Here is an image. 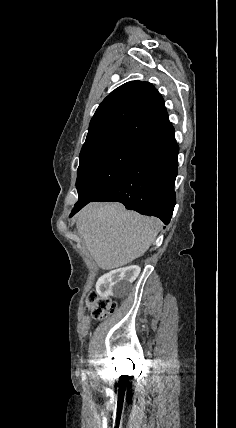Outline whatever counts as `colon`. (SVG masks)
<instances>
[{
  "label": "colon",
  "instance_id": "5ec220e1",
  "mask_svg": "<svg viewBox=\"0 0 236 428\" xmlns=\"http://www.w3.org/2000/svg\"><path fill=\"white\" fill-rule=\"evenodd\" d=\"M86 306L93 318L98 320L107 318L116 310V303L113 300L106 297H98L93 292L87 295Z\"/></svg>",
  "mask_w": 236,
  "mask_h": 428
}]
</instances>
